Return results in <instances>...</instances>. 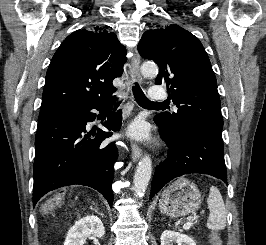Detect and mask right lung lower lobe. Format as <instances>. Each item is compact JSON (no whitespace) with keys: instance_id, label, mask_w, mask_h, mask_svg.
<instances>
[{"instance_id":"98d812e1","label":"right lung lower lobe","mask_w":266,"mask_h":245,"mask_svg":"<svg viewBox=\"0 0 266 245\" xmlns=\"http://www.w3.org/2000/svg\"><path fill=\"white\" fill-rule=\"evenodd\" d=\"M115 97L78 105L38 121L35 137L33 207L38 200L54 189L68 185H86L99 191L112 207L113 164L118 151L113 143H102L112 132L92 129L87 122L96 114L107 112ZM122 112L110 113L103 123L108 130L118 131ZM87 133V134H85ZM95 136V139L89 137Z\"/></svg>"}]
</instances>
